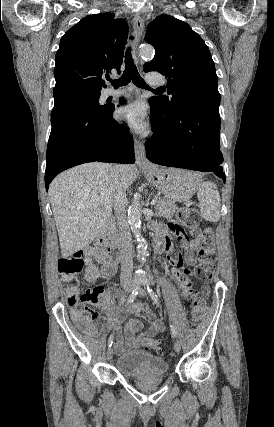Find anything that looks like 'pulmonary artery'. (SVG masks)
Returning <instances> with one entry per match:
<instances>
[{"mask_svg": "<svg viewBox=\"0 0 274 427\" xmlns=\"http://www.w3.org/2000/svg\"><path fill=\"white\" fill-rule=\"evenodd\" d=\"M162 78L158 77V76H151L148 78V83L151 85H158L160 83H162ZM128 91L127 89L120 87L117 89H113V88H108L105 91V97L106 98H120L123 97L125 95H127Z\"/></svg>", "mask_w": 274, "mask_h": 427, "instance_id": "pulmonary-artery-1", "label": "pulmonary artery"}]
</instances>
